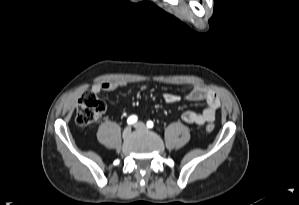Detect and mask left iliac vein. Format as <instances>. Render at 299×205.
Masks as SVG:
<instances>
[{
    "mask_svg": "<svg viewBox=\"0 0 299 205\" xmlns=\"http://www.w3.org/2000/svg\"><path fill=\"white\" fill-rule=\"evenodd\" d=\"M134 127L139 130H145L147 128L146 125L142 122H137L136 124H134Z\"/></svg>",
    "mask_w": 299,
    "mask_h": 205,
    "instance_id": "obj_1",
    "label": "left iliac vein"
}]
</instances>
